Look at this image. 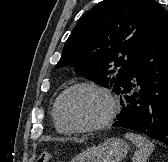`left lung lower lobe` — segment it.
<instances>
[{
    "label": "left lung lower lobe",
    "instance_id": "obj_1",
    "mask_svg": "<svg viewBox=\"0 0 168 162\" xmlns=\"http://www.w3.org/2000/svg\"><path fill=\"white\" fill-rule=\"evenodd\" d=\"M117 93L124 96L113 126L168 145V18L138 54Z\"/></svg>",
    "mask_w": 168,
    "mask_h": 162
}]
</instances>
